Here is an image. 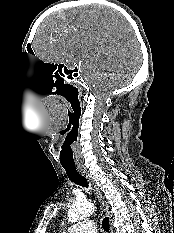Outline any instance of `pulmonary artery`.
Returning <instances> with one entry per match:
<instances>
[{"instance_id":"e3ab8cb5","label":"pulmonary artery","mask_w":174,"mask_h":233,"mask_svg":"<svg viewBox=\"0 0 174 233\" xmlns=\"http://www.w3.org/2000/svg\"><path fill=\"white\" fill-rule=\"evenodd\" d=\"M67 232L68 233H97V228L93 221H82L69 227L66 233Z\"/></svg>"}]
</instances>
